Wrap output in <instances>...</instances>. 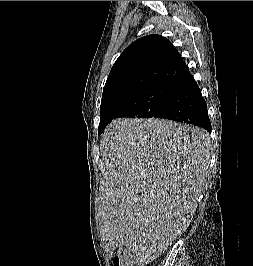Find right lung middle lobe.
I'll return each mask as SVG.
<instances>
[{
	"instance_id": "obj_1",
	"label": "right lung middle lobe",
	"mask_w": 253,
	"mask_h": 266,
	"mask_svg": "<svg viewBox=\"0 0 253 266\" xmlns=\"http://www.w3.org/2000/svg\"><path fill=\"white\" fill-rule=\"evenodd\" d=\"M173 84L159 83L126 92L101 104L98 134L115 118L159 117L165 110Z\"/></svg>"
}]
</instances>
